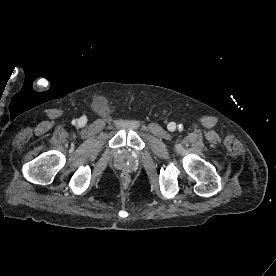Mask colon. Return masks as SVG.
I'll list each match as a JSON object with an SVG mask.
<instances>
[{"label": "colon", "instance_id": "colon-1", "mask_svg": "<svg viewBox=\"0 0 276 276\" xmlns=\"http://www.w3.org/2000/svg\"><path fill=\"white\" fill-rule=\"evenodd\" d=\"M121 181H122L123 185H127L129 183V176L127 174H122Z\"/></svg>", "mask_w": 276, "mask_h": 276}]
</instances>
